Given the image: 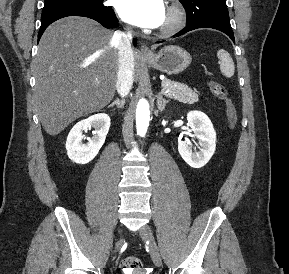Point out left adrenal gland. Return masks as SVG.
<instances>
[{
  "label": "left adrenal gland",
  "mask_w": 289,
  "mask_h": 274,
  "mask_svg": "<svg viewBox=\"0 0 289 274\" xmlns=\"http://www.w3.org/2000/svg\"><path fill=\"white\" fill-rule=\"evenodd\" d=\"M168 103H169V100H166L165 98H163L161 93L157 96V108L160 112H162L165 109Z\"/></svg>",
  "instance_id": "left-adrenal-gland-1"
}]
</instances>
